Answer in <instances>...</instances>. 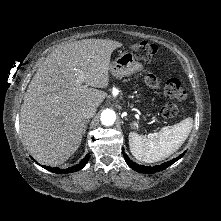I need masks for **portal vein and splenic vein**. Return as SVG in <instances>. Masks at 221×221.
Masks as SVG:
<instances>
[{"instance_id":"obj_1","label":"portal vein and splenic vein","mask_w":221,"mask_h":221,"mask_svg":"<svg viewBox=\"0 0 221 221\" xmlns=\"http://www.w3.org/2000/svg\"><path fill=\"white\" fill-rule=\"evenodd\" d=\"M83 81H84V75L81 71H79L77 82L82 83Z\"/></svg>"}]
</instances>
